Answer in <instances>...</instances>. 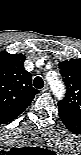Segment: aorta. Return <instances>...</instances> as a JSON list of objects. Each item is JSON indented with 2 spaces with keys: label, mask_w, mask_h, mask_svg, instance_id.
<instances>
[{
  "label": "aorta",
  "mask_w": 81,
  "mask_h": 155,
  "mask_svg": "<svg viewBox=\"0 0 81 155\" xmlns=\"http://www.w3.org/2000/svg\"><path fill=\"white\" fill-rule=\"evenodd\" d=\"M49 84L57 98H62L64 96L65 88L63 83L58 79V77L48 76Z\"/></svg>",
  "instance_id": "762f6f07"
}]
</instances>
